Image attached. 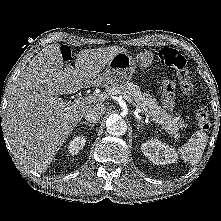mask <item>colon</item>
Here are the masks:
<instances>
[{
    "label": "colon",
    "mask_w": 221,
    "mask_h": 221,
    "mask_svg": "<svg viewBox=\"0 0 221 221\" xmlns=\"http://www.w3.org/2000/svg\"><path fill=\"white\" fill-rule=\"evenodd\" d=\"M62 59L68 61L70 58V51L66 48L61 50ZM159 61L166 66L172 67L176 70L177 79L181 90L188 96L194 95V86L191 81L190 71L188 69V62L185 56L179 53L176 49L164 47L158 52ZM163 91H173V84L169 80L163 82ZM198 125L201 130L207 131L211 126L210 114L205 106H201L196 112Z\"/></svg>",
    "instance_id": "obj_1"
}]
</instances>
